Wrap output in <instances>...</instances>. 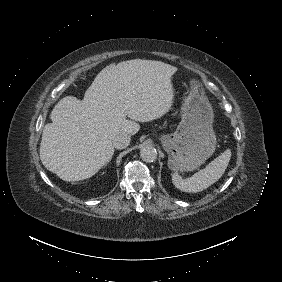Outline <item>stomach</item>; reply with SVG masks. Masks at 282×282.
<instances>
[{
    "label": "stomach",
    "mask_w": 282,
    "mask_h": 282,
    "mask_svg": "<svg viewBox=\"0 0 282 282\" xmlns=\"http://www.w3.org/2000/svg\"><path fill=\"white\" fill-rule=\"evenodd\" d=\"M214 112L200 85L191 84L181 106V122L172 134L160 140L168 153V167L173 171H193L215 151Z\"/></svg>",
    "instance_id": "stomach-1"
}]
</instances>
